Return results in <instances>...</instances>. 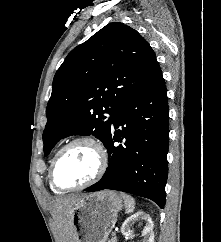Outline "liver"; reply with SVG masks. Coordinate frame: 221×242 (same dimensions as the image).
Instances as JSON below:
<instances>
[{
    "label": "liver",
    "mask_w": 221,
    "mask_h": 242,
    "mask_svg": "<svg viewBox=\"0 0 221 242\" xmlns=\"http://www.w3.org/2000/svg\"><path fill=\"white\" fill-rule=\"evenodd\" d=\"M82 196L58 198L52 202V213L59 233V242H74L75 230L70 209Z\"/></svg>",
    "instance_id": "obj_1"
}]
</instances>
